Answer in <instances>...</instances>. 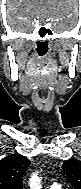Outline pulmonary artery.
<instances>
[{
    "label": "pulmonary artery",
    "mask_w": 81,
    "mask_h": 189,
    "mask_svg": "<svg viewBox=\"0 0 81 189\" xmlns=\"http://www.w3.org/2000/svg\"><path fill=\"white\" fill-rule=\"evenodd\" d=\"M50 187L57 188V189L61 188V186L56 182L52 183Z\"/></svg>",
    "instance_id": "e3ab8cb5"
}]
</instances>
